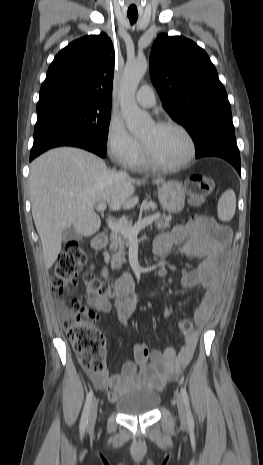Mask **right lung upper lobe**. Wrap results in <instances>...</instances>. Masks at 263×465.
I'll list each match as a JSON object with an SVG mask.
<instances>
[{"label":"right lung upper lobe","instance_id":"obj_1","mask_svg":"<svg viewBox=\"0 0 263 465\" xmlns=\"http://www.w3.org/2000/svg\"><path fill=\"white\" fill-rule=\"evenodd\" d=\"M114 60L113 44L105 33L73 41L51 63L39 102L72 97L111 104Z\"/></svg>","mask_w":263,"mask_h":465}]
</instances>
